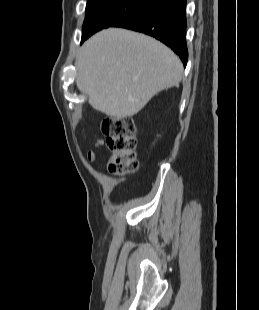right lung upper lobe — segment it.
<instances>
[{
    "label": "right lung upper lobe",
    "instance_id": "obj_1",
    "mask_svg": "<svg viewBox=\"0 0 259 310\" xmlns=\"http://www.w3.org/2000/svg\"><path fill=\"white\" fill-rule=\"evenodd\" d=\"M104 1H107V0H87V6L86 7H91V6L100 4Z\"/></svg>",
    "mask_w": 259,
    "mask_h": 310
}]
</instances>
